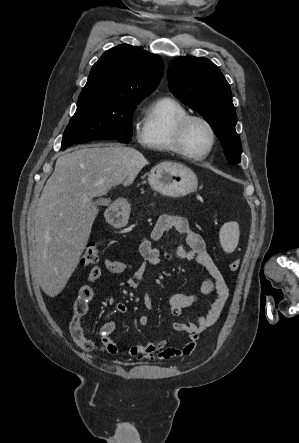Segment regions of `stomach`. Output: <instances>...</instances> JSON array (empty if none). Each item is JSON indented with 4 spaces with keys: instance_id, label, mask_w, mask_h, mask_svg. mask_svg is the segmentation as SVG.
Returning a JSON list of instances; mask_svg holds the SVG:
<instances>
[{
    "instance_id": "obj_1",
    "label": "stomach",
    "mask_w": 299,
    "mask_h": 443,
    "mask_svg": "<svg viewBox=\"0 0 299 443\" xmlns=\"http://www.w3.org/2000/svg\"><path fill=\"white\" fill-rule=\"evenodd\" d=\"M148 182L153 190L169 197L185 196L196 190L198 179L192 170L177 164H160L152 168ZM130 205L119 199L112 206V215L108 218L115 227H123L128 223Z\"/></svg>"
}]
</instances>
